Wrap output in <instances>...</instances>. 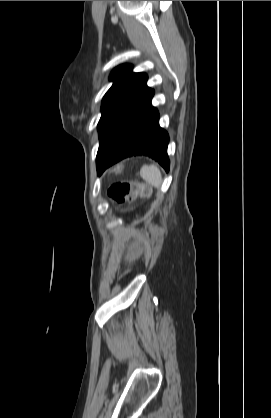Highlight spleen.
Returning <instances> with one entry per match:
<instances>
[{
	"mask_svg": "<svg viewBox=\"0 0 271 418\" xmlns=\"http://www.w3.org/2000/svg\"><path fill=\"white\" fill-rule=\"evenodd\" d=\"M141 177L150 185L159 188L162 182V175L155 165L143 166L140 170Z\"/></svg>",
	"mask_w": 271,
	"mask_h": 418,
	"instance_id": "spleen-1",
	"label": "spleen"
}]
</instances>
